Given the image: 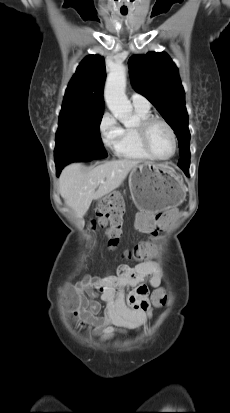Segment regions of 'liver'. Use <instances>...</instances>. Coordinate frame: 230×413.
Segmentation results:
<instances>
[{
    "label": "liver",
    "mask_w": 230,
    "mask_h": 413,
    "mask_svg": "<svg viewBox=\"0 0 230 413\" xmlns=\"http://www.w3.org/2000/svg\"><path fill=\"white\" fill-rule=\"evenodd\" d=\"M138 164V161L121 159L87 169L80 163H72L62 170L59 177L60 194L65 204L81 219L93 200L118 188ZM101 180L104 183H100Z\"/></svg>",
    "instance_id": "obj_1"
}]
</instances>
